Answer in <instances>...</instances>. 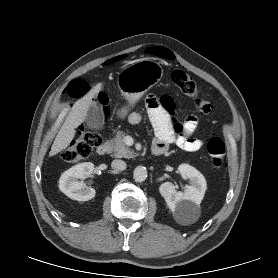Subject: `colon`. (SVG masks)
Wrapping results in <instances>:
<instances>
[{"mask_svg":"<svg viewBox=\"0 0 278 278\" xmlns=\"http://www.w3.org/2000/svg\"><path fill=\"white\" fill-rule=\"evenodd\" d=\"M171 80L185 95L192 98L198 112L206 114L212 110L211 102L202 96L196 82L187 73L182 70H174L171 73ZM90 89L89 82L78 78L69 83L67 94L73 98H81ZM99 142L100 137L97 132L85 129L75 141L62 151V158L67 162L85 159L91 155ZM207 150L213 165L220 168L224 163L226 154L224 142L218 137H213L208 141Z\"/></svg>","mask_w":278,"mask_h":278,"instance_id":"colon-1","label":"colon"}]
</instances>
